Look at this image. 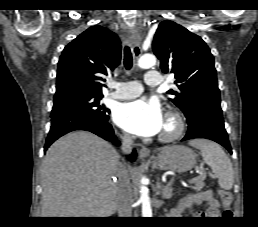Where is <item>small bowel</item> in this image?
<instances>
[{
  "mask_svg": "<svg viewBox=\"0 0 258 227\" xmlns=\"http://www.w3.org/2000/svg\"><path fill=\"white\" fill-rule=\"evenodd\" d=\"M207 202L209 207L203 213H193L191 210L192 205L200 204L202 202ZM220 203L216 199L214 193L211 190H205L198 192L189 198L181 202L175 210L171 212V215H177L183 212H188L189 214H196L198 216L215 218L219 216Z\"/></svg>",
  "mask_w": 258,
  "mask_h": 227,
  "instance_id": "obj_1",
  "label": "small bowel"
}]
</instances>
